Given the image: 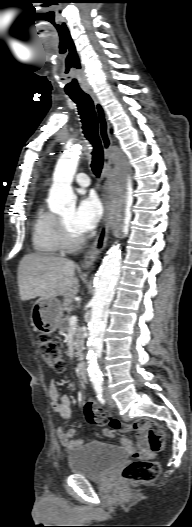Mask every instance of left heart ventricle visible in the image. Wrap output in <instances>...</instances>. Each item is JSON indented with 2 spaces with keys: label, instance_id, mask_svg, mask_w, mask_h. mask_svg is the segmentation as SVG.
Returning a JSON list of instances; mask_svg holds the SVG:
<instances>
[{
  "label": "left heart ventricle",
  "instance_id": "left-heart-ventricle-1",
  "mask_svg": "<svg viewBox=\"0 0 192 527\" xmlns=\"http://www.w3.org/2000/svg\"><path fill=\"white\" fill-rule=\"evenodd\" d=\"M73 210H70V211H67L66 213H64L63 215H61V219L63 220V222L65 223L66 227L68 228L70 234L73 236V237H78L80 236L79 233H77L72 225H71V220H72V217H73Z\"/></svg>",
  "mask_w": 192,
  "mask_h": 527
}]
</instances>
